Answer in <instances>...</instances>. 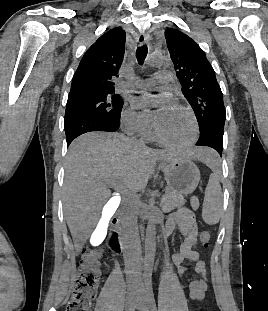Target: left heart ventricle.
Returning a JSON list of instances; mask_svg holds the SVG:
<instances>
[{"label": "left heart ventricle", "mask_w": 268, "mask_h": 311, "mask_svg": "<svg viewBox=\"0 0 268 311\" xmlns=\"http://www.w3.org/2000/svg\"><path fill=\"white\" fill-rule=\"evenodd\" d=\"M157 124L162 136L173 142L185 141L192 133L189 117L178 108L157 121Z\"/></svg>", "instance_id": "left-heart-ventricle-1"}]
</instances>
